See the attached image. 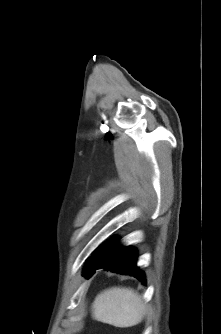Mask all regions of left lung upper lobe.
<instances>
[{
  "instance_id": "obj_1",
  "label": "left lung upper lobe",
  "mask_w": 221,
  "mask_h": 334,
  "mask_svg": "<svg viewBox=\"0 0 221 334\" xmlns=\"http://www.w3.org/2000/svg\"><path fill=\"white\" fill-rule=\"evenodd\" d=\"M93 262V258L88 262V266Z\"/></svg>"
}]
</instances>
